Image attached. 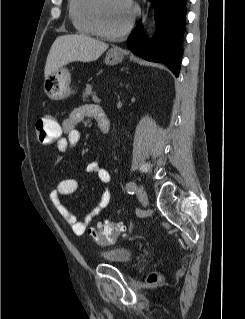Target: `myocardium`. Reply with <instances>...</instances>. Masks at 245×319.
I'll list each match as a JSON object with an SVG mask.
<instances>
[{"mask_svg":"<svg viewBox=\"0 0 245 319\" xmlns=\"http://www.w3.org/2000/svg\"><path fill=\"white\" fill-rule=\"evenodd\" d=\"M103 1L104 0H94L93 4V21L94 25L96 27L98 35H101L106 38H120L124 35H126L133 27L136 16H137V10L132 9L131 17L128 21V23L120 30L118 31H111L105 28L103 21H102V7H103Z\"/></svg>","mask_w":245,"mask_h":319,"instance_id":"myocardium-1","label":"myocardium"}]
</instances>
